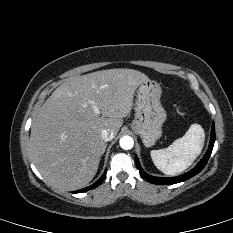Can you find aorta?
I'll return each instance as SVG.
<instances>
[{"instance_id": "1", "label": "aorta", "mask_w": 233, "mask_h": 233, "mask_svg": "<svg viewBox=\"0 0 233 233\" xmlns=\"http://www.w3.org/2000/svg\"><path fill=\"white\" fill-rule=\"evenodd\" d=\"M120 147L124 150H130L134 146V140L130 136H123L119 141Z\"/></svg>"}]
</instances>
